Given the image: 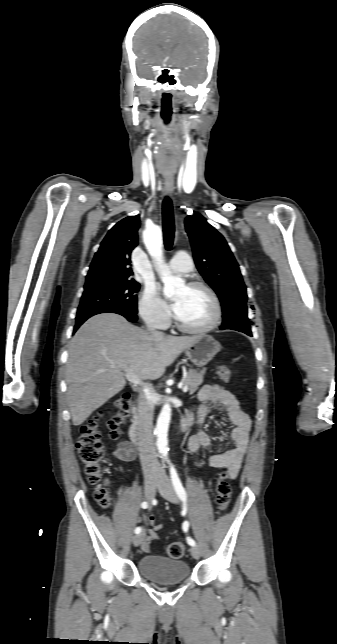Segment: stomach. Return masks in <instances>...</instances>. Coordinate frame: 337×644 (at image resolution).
Instances as JSON below:
<instances>
[{
    "label": "stomach",
    "instance_id": "stomach-1",
    "mask_svg": "<svg viewBox=\"0 0 337 644\" xmlns=\"http://www.w3.org/2000/svg\"><path fill=\"white\" fill-rule=\"evenodd\" d=\"M221 350V344L212 336L199 335L195 344L185 350L187 358L196 366H204Z\"/></svg>",
    "mask_w": 337,
    "mask_h": 644
}]
</instances>
